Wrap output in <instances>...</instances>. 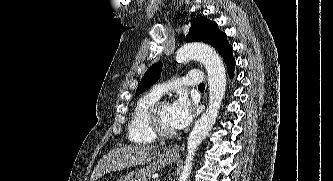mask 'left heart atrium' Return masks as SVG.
<instances>
[{"label": "left heart atrium", "instance_id": "39dd6f15", "mask_svg": "<svg viewBox=\"0 0 333 181\" xmlns=\"http://www.w3.org/2000/svg\"><path fill=\"white\" fill-rule=\"evenodd\" d=\"M194 117V109L190 101L179 97L171 104V122L175 129H183L188 126Z\"/></svg>", "mask_w": 333, "mask_h": 181}]
</instances>
